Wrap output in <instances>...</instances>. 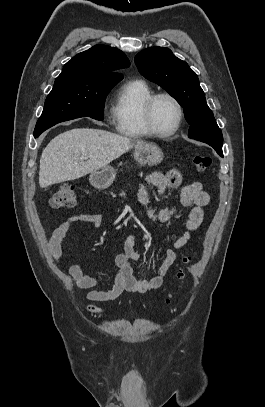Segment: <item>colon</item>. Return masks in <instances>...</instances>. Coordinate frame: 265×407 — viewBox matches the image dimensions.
<instances>
[{
	"instance_id": "1",
	"label": "colon",
	"mask_w": 265,
	"mask_h": 407,
	"mask_svg": "<svg viewBox=\"0 0 265 407\" xmlns=\"http://www.w3.org/2000/svg\"><path fill=\"white\" fill-rule=\"evenodd\" d=\"M192 162L194 166L199 171H206L210 168L212 160L211 157L205 154H194L192 157ZM77 193L73 186L63 185L51 196L50 205L53 208H69L75 205L77 202ZM191 261V257L187 256L183 259L184 264H188ZM179 278L184 279V271L179 272ZM170 300H168L169 302Z\"/></svg>"
}]
</instances>
